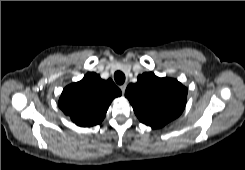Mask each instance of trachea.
Returning a JSON list of instances; mask_svg holds the SVG:
<instances>
[{
    "mask_svg": "<svg viewBox=\"0 0 245 170\" xmlns=\"http://www.w3.org/2000/svg\"><path fill=\"white\" fill-rule=\"evenodd\" d=\"M114 80L117 84L122 85L125 82V75L122 72L117 71L114 74Z\"/></svg>",
    "mask_w": 245,
    "mask_h": 170,
    "instance_id": "trachea-1",
    "label": "trachea"
}]
</instances>
